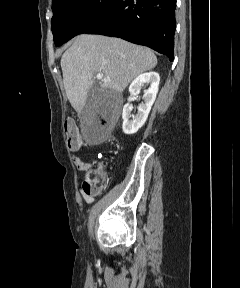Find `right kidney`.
<instances>
[{
  "mask_svg": "<svg viewBox=\"0 0 240 288\" xmlns=\"http://www.w3.org/2000/svg\"><path fill=\"white\" fill-rule=\"evenodd\" d=\"M160 77L156 72H147L139 75L129 86V92L132 95L140 93V87L143 85H149V88L144 91L143 100L139 107L136 116H132L133 109L132 104L129 102L131 98H128V103L124 105L122 118H123V132L127 135L136 133L145 123L151 107L156 99L158 92ZM132 117V119H131Z\"/></svg>",
  "mask_w": 240,
  "mask_h": 288,
  "instance_id": "1",
  "label": "right kidney"
}]
</instances>
